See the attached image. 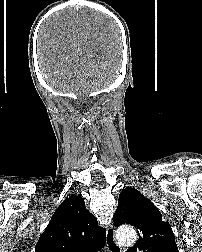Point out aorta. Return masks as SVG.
Returning <instances> with one entry per match:
<instances>
[{"instance_id":"1","label":"aorta","mask_w":202,"mask_h":252,"mask_svg":"<svg viewBox=\"0 0 202 252\" xmlns=\"http://www.w3.org/2000/svg\"><path fill=\"white\" fill-rule=\"evenodd\" d=\"M116 238L121 244L132 245L137 241V233L132 227H121L116 232Z\"/></svg>"}]
</instances>
